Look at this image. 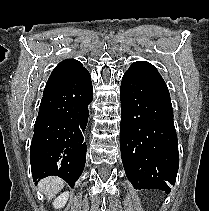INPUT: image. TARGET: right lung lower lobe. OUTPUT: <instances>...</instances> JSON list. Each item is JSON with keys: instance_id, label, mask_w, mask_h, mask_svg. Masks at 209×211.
I'll use <instances>...</instances> for the list:
<instances>
[{"instance_id": "obj_1", "label": "right lung lower lobe", "mask_w": 209, "mask_h": 211, "mask_svg": "<svg viewBox=\"0 0 209 211\" xmlns=\"http://www.w3.org/2000/svg\"><path fill=\"white\" fill-rule=\"evenodd\" d=\"M92 99L91 77L85 68L43 94L30 147L35 184L55 175L74 186L86 162L83 133Z\"/></svg>"}]
</instances>
